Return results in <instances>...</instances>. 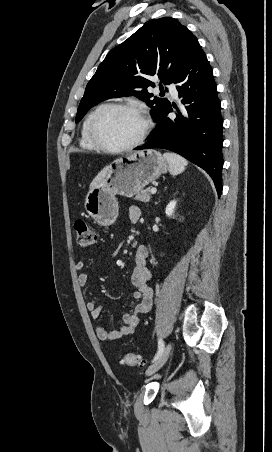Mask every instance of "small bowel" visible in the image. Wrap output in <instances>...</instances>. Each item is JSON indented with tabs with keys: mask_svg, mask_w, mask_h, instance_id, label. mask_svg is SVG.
<instances>
[{
	"mask_svg": "<svg viewBox=\"0 0 272 452\" xmlns=\"http://www.w3.org/2000/svg\"><path fill=\"white\" fill-rule=\"evenodd\" d=\"M127 215L130 223L136 224L141 215L139 207L134 205L130 206ZM148 255V249L144 245H140L137 247L134 256L135 267L131 275V282L135 288L133 298L140 300V302L122 317L119 321L118 329L108 331L102 326H97L95 328V333L99 340L115 341L123 336L132 334L138 326L139 316L150 310L153 300V290L148 284V281L151 278V271L147 264ZM76 269L81 271L78 277L79 283L81 285H88L90 283V276L88 273L83 272L85 263L82 261L77 262ZM87 308L92 320L97 322L100 319L101 307L95 300H90L87 303Z\"/></svg>",
	"mask_w": 272,
	"mask_h": 452,
	"instance_id": "small-bowel-1",
	"label": "small bowel"
}]
</instances>
